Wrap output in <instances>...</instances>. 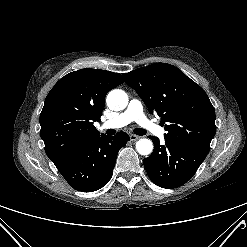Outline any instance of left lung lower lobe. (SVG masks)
Returning <instances> with one entry per match:
<instances>
[{
    "mask_svg": "<svg viewBox=\"0 0 247 247\" xmlns=\"http://www.w3.org/2000/svg\"><path fill=\"white\" fill-rule=\"evenodd\" d=\"M152 154L143 160L150 179L162 188L172 189L185 184L197 171L207 154L194 148L165 140L160 145L157 137Z\"/></svg>",
    "mask_w": 247,
    "mask_h": 247,
    "instance_id": "0a47b994",
    "label": "left lung lower lobe"
}]
</instances>
